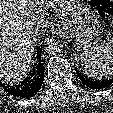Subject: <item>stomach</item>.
Returning a JSON list of instances; mask_svg holds the SVG:
<instances>
[{"label":"stomach","mask_w":113,"mask_h":113,"mask_svg":"<svg viewBox=\"0 0 113 113\" xmlns=\"http://www.w3.org/2000/svg\"><path fill=\"white\" fill-rule=\"evenodd\" d=\"M72 1V12L69 24L76 37L77 48L93 49L99 40L100 21L86 5L78 0Z\"/></svg>","instance_id":"1"}]
</instances>
